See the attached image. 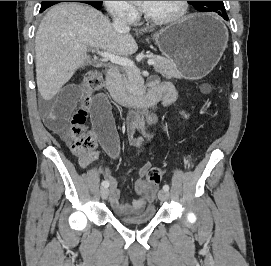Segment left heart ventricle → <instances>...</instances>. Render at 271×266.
<instances>
[{"label":"left heart ventricle","instance_id":"obj_1","mask_svg":"<svg viewBox=\"0 0 271 266\" xmlns=\"http://www.w3.org/2000/svg\"><path fill=\"white\" fill-rule=\"evenodd\" d=\"M179 7V1H150L144 10L152 16L165 17L175 14Z\"/></svg>","mask_w":271,"mask_h":266}]
</instances>
